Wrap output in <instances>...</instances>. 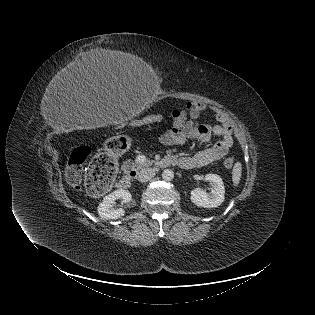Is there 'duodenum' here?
Here are the masks:
<instances>
[{
	"mask_svg": "<svg viewBox=\"0 0 315 315\" xmlns=\"http://www.w3.org/2000/svg\"><path fill=\"white\" fill-rule=\"evenodd\" d=\"M175 164V160L172 159V158H169V157H166L164 159H162L160 162H159V165L161 167H168L170 165H174ZM136 173L134 171H131V172H127L126 174H124L120 180L117 182V187L119 189H127L130 187L131 185V180H132V177L135 176Z\"/></svg>",
	"mask_w": 315,
	"mask_h": 315,
	"instance_id": "obj_1",
	"label": "duodenum"
}]
</instances>
